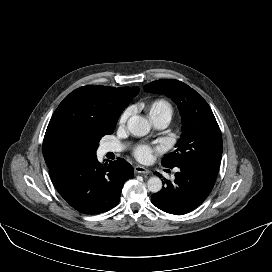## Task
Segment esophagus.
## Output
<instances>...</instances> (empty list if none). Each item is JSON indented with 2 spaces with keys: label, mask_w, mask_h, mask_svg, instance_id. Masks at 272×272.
Wrapping results in <instances>:
<instances>
[{
  "label": "esophagus",
  "mask_w": 272,
  "mask_h": 272,
  "mask_svg": "<svg viewBox=\"0 0 272 272\" xmlns=\"http://www.w3.org/2000/svg\"><path fill=\"white\" fill-rule=\"evenodd\" d=\"M134 171H135V173H138V174L149 173V170L147 168L140 166V165L135 166Z\"/></svg>",
  "instance_id": "34e87169"
}]
</instances>
